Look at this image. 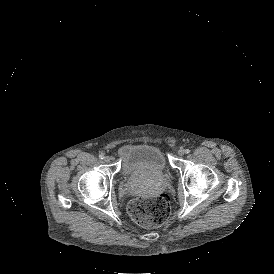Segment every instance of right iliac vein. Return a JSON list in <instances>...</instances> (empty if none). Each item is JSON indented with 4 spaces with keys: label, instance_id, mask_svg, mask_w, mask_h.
Returning <instances> with one entry per match:
<instances>
[{
    "label": "right iliac vein",
    "instance_id": "right-iliac-vein-1",
    "mask_svg": "<svg viewBox=\"0 0 274 274\" xmlns=\"http://www.w3.org/2000/svg\"><path fill=\"white\" fill-rule=\"evenodd\" d=\"M104 161L107 162V163L110 162L111 161V157L109 155H106L104 157Z\"/></svg>",
    "mask_w": 274,
    "mask_h": 274
}]
</instances>
